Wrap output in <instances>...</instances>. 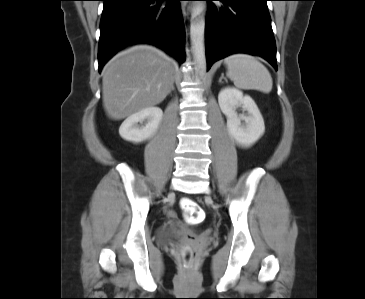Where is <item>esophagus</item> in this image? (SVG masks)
Listing matches in <instances>:
<instances>
[{
    "instance_id": "obj_1",
    "label": "esophagus",
    "mask_w": 365,
    "mask_h": 299,
    "mask_svg": "<svg viewBox=\"0 0 365 299\" xmlns=\"http://www.w3.org/2000/svg\"><path fill=\"white\" fill-rule=\"evenodd\" d=\"M191 10H192V5H186L185 6V11L187 12V13H189V12H191Z\"/></svg>"
}]
</instances>
